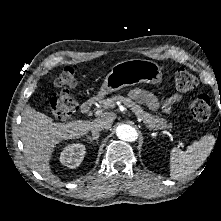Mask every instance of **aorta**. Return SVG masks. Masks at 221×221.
I'll use <instances>...</instances> for the list:
<instances>
[{"label": "aorta", "mask_w": 221, "mask_h": 221, "mask_svg": "<svg viewBox=\"0 0 221 221\" xmlns=\"http://www.w3.org/2000/svg\"><path fill=\"white\" fill-rule=\"evenodd\" d=\"M116 135L119 139L127 142L136 141L138 138V133L136 129L127 124H121L117 126Z\"/></svg>", "instance_id": "aorta-1"}]
</instances>
